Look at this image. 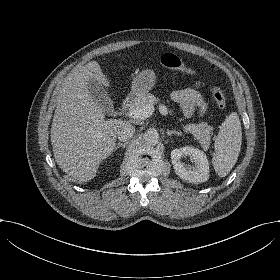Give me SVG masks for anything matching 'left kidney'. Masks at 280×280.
Segmentation results:
<instances>
[{"instance_id": "left-kidney-1", "label": "left kidney", "mask_w": 280, "mask_h": 280, "mask_svg": "<svg viewBox=\"0 0 280 280\" xmlns=\"http://www.w3.org/2000/svg\"><path fill=\"white\" fill-rule=\"evenodd\" d=\"M188 156L195 163L194 167L188 166L182 158ZM172 165L175 172L183 180L192 183L206 182L210 178V169L207 155L195 147H183L171 152Z\"/></svg>"}]
</instances>
